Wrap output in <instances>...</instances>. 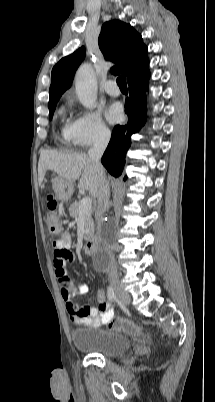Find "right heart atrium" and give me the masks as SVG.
<instances>
[{
  "instance_id": "right-heart-atrium-1",
  "label": "right heart atrium",
  "mask_w": 215,
  "mask_h": 402,
  "mask_svg": "<svg viewBox=\"0 0 215 402\" xmlns=\"http://www.w3.org/2000/svg\"><path fill=\"white\" fill-rule=\"evenodd\" d=\"M69 131L73 144L81 148L104 143L110 136L109 128L96 111H83L70 123Z\"/></svg>"
}]
</instances>
